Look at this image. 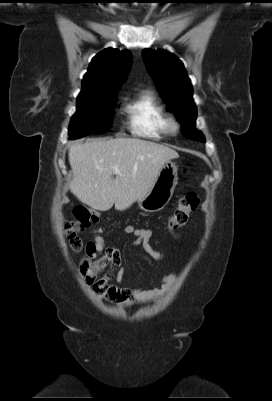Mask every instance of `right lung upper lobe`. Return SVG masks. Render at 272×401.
I'll return each instance as SVG.
<instances>
[{
	"label": "right lung upper lobe",
	"mask_w": 272,
	"mask_h": 401,
	"mask_svg": "<svg viewBox=\"0 0 272 401\" xmlns=\"http://www.w3.org/2000/svg\"><path fill=\"white\" fill-rule=\"evenodd\" d=\"M132 54L128 50L107 48L91 61L82 80L78 98L97 93L115 91L121 86L129 71Z\"/></svg>",
	"instance_id": "1"
}]
</instances>
